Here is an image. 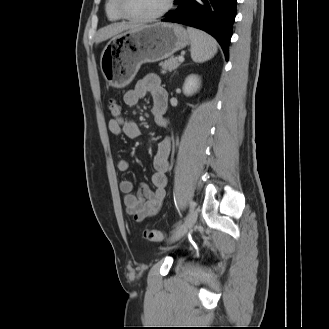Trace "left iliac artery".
<instances>
[{
	"label": "left iliac artery",
	"mask_w": 329,
	"mask_h": 329,
	"mask_svg": "<svg viewBox=\"0 0 329 329\" xmlns=\"http://www.w3.org/2000/svg\"><path fill=\"white\" fill-rule=\"evenodd\" d=\"M195 207V202L194 201H190V208L194 209ZM180 222H178L177 224H179Z\"/></svg>",
	"instance_id": "obj_1"
}]
</instances>
